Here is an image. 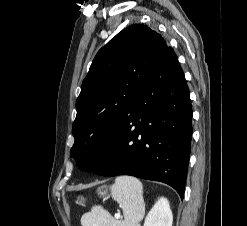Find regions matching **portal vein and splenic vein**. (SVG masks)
Returning a JSON list of instances; mask_svg holds the SVG:
<instances>
[{
  "label": "portal vein and splenic vein",
  "instance_id": "portal-vein-and-splenic-vein-1",
  "mask_svg": "<svg viewBox=\"0 0 247 226\" xmlns=\"http://www.w3.org/2000/svg\"><path fill=\"white\" fill-rule=\"evenodd\" d=\"M121 217V215L119 213L115 214V218L119 219Z\"/></svg>",
  "mask_w": 247,
  "mask_h": 226
}]
</instances>
